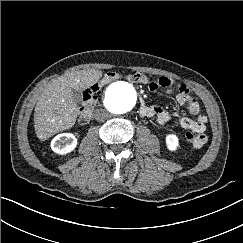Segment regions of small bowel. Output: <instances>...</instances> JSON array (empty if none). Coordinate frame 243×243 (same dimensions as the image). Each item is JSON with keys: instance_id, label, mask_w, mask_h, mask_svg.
<instances>
[{"instance_id": "1", "label": "small bowel", "mask_w": 243, "mask_h": 243, "mask_svg": "<svg viewBox=\"0 0 243 243\" xmlns=\"http://www.w3.org/2000/svg\"><path fill=\"white\" fill-rule=\"evenodd\" d=\"M148 89L152 92L158 89H162L166 92H176L177 102L180 105H187L190 114L196 117L195 119L181 117L178 120L179 125L186 130L196 133L198 142L193 145L195 148H200L207 142L205 131L208 119L205 115L200 113L199 103L184 84L175 82L167 77H161L156 81L150 82L148 84ZM141 114L146 117H155L160 124H164L171 119L170 113L158 106H146L144 109L141 108Z\"/></svg>"}]
</instances>
